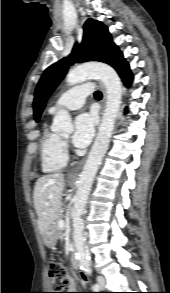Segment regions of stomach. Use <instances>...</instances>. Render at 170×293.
Segmentation results:
<instances>
[{
  "label": "stomach",
  "mask_w": 170,
  "mask_h": 293,
  "mask_svg": "<svg viewBox=\"0 0 170 293\" xmlns=\"http://www.w3.org/2000/svg\"><path fill=\"white\" fill-rule=\"evenodd\" d=\"M43 240H44V243L46 246L53 247V246H55V244L57 242V237L51 231V229H49L47 232L44 233Z\"/></svg>",
  "instance_id": "0dacf381"
}]
</instances>
